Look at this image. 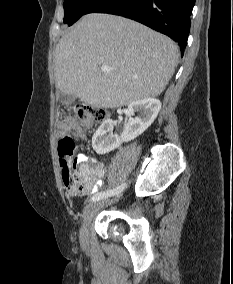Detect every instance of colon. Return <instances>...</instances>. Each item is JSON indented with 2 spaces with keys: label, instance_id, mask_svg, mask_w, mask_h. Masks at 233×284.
I'll use <instances>...</instances> for the list:
<instances>
[{
  "label": "colon",
  "instance_id": "5ec220e1",
  "mask_svg": "<svg viewBox=\"0 0 233 284\" xmlns=\"http://www.w3.org/2000/svg\"><path fill=\"white\" fill-rule=\"evenodd\" d=\"M80 124L87 129L96 127L108 117L107 110L98 107L76 105L72 108ZM75 143L70 136L60 141L59 165L66 189L74 194H86L92 187L91 176L82 171L74 158Z\"/></svg>",
  "mask_w": 233,
  "mask_h": 284
}]
</instances>
